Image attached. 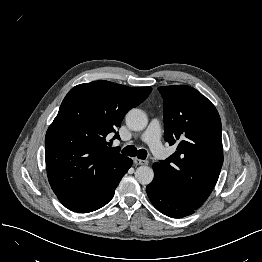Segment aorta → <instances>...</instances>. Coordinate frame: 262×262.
<instances>
[{
    "label": "aorta",
    "instance_id": "1",
    "mask_svg": "<svg viewBox=\"0 0 262 262\" xmlns=\"http://www.w3.org/2000/svg\"><path fill=\"white\" fill-rule=\"evenodd\" d=\"M126 124L133 131H141L148 124L147 115L141 109L133 108L126 115ZM135 178L142 185L153 181L154 171L149 166H140L135 171Z\"/></svg>",
    "mask_w": 262,
    "mask_h": 262
}]
</instances>
